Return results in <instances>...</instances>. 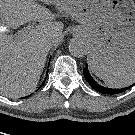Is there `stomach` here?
Masks as SVG:
<instances>
[{
  "label": "stomach",
  "instance_id": "stomach-1",
  "mask_svg": "<svg viewBox=\"0 0 135 135\" xmlns=\"http://www.w3.org/2000/svg\"><path fill=\"white\" fill-rule=\"evenodd\" d=\"M77 20L74 28L89 46L94 73L111 74L135 64L133 0H40Z\"/></svg>",
  "mask_w": 135,
  "mask_h": 135
}]
</instances>
